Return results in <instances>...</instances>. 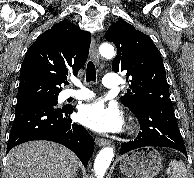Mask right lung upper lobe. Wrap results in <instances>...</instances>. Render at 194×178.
Instances as JSON below:
<instances>
[{
	"label": "right lung upper lobe",
	"instance_id": "obj_1",
	"mask_svg": "<svg viewBox=\"0 0 194 178\" xmlns=\"http://www.w3.org/2000/svg\"><path fill=\"white\" fill-rule=\"evenodd\" d=\"M91 35L64 20L29 47L20 72L17 104L58 97L62 82L85 65Z\"/></svg>",
	"mask_w": 194,
	"mask_h": 178
}]
</instances>
